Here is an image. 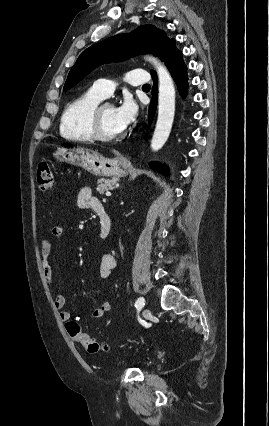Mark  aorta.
I'll use <instances>...</instances> for the list:
<instances>
[{"label":"aorta","instance_id":"aorta-1","mask_svg":"<svg viewBox=\"0 0 269 426\" xmlns=\"http://www.w3.org/2000/svg\"><path fill=\"white\" fill-rule=\"evenodd\" d=\"M157 71L159 80L158 119L151 140V148L158 151L166 143L175 115V87L168 69L155 57L148 56Z\"/></svg>","mask_w":269,"mask_h":426}]
</instances>
